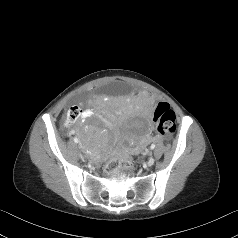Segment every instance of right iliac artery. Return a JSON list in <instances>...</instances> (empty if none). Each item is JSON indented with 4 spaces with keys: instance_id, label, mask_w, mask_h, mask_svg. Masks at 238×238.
I'll return each instance as SVG.
<instances>
[{
    "instance_id": "right-iliac-artery-1",
    "label": "right iliac artery",
    "mask_w": 238,
    "mask_h": 238,
    "mask_svg": "<svg viewBox=\"0 0 238 238\" xmlns=\"http://www.w3.org/2000/svg\"><path fill=\"white\" fill-rule=\"evenodd\" d=\"M74 142H76V143H78V142H79V140H78V138H77V137H74Z\"/></svg>"
}]
</instances>
